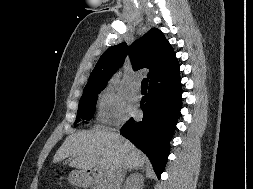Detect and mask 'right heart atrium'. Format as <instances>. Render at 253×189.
I'll use <instances>...</instances> for the list:
<instances>
[{
  "mask_svg": "<svg viewBox=\"0 0 253 189\" xmlns=\"http://www.w3.org/2000/svg\"><path fill=\"white\" fill-rule=\"evenodd\" d=\"M126 103L122 95L113 88L104 90L97 102V116L99 122L110 124L121 121L124 117Z\"/></svg>",
  "mask_w": 253,
  "mask_h": 189,
  "instance_id": "d8ad5b80",
  "label": "right heart atrium"
}]
</instances>
